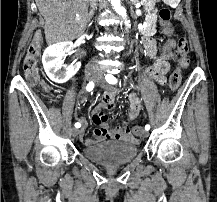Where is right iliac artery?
<instances>
[{
    "instance_id": "obj_1",
    "label": "right iliac artery",
    "mask_w": 217,
    "mask_h": 202,
    "mask_svg": "<svg viewBox=\"0 0 217 202\" xmlns=\"http://www.w3.org/2000/svg\"><path fill=\"white\" fill-rule=\"evenodd\" d=\"M93 88H94V82L91 81V82H89V83L87 84L86 90L90 92V91L93 90ZM75 127H76V128H80V127H81V124H80L79 122H77V123H75Z\"/></svg>"
}]
</instances>
